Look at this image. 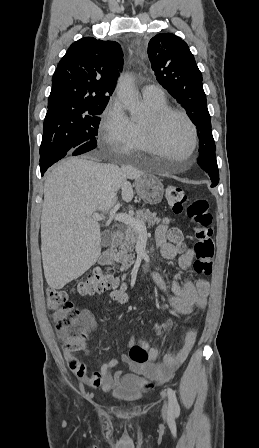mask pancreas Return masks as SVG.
Returning <instances> with one entry per match:
<instances>
[{
	"instance_id": "cf45deb5",
	"label": "pancreas",
	"mask_w": 259,
	"mask_h": 448,
	"mask_svg": "<svg viewBox=\"0 0 259 448\" xmlns=\"http://www.w3.org/2000/svg\"><path fill=\"white\" fill-rule=\"evenodd\" d=\"M156 216L157 214H152L150 210H137L135 218L136 220H140V222H144V224L147 222L148 228H150V226L159 224L160 220L159 218H156ZM124 234V242L121 246H119V252H116L115 260H117V262H121L122 270H128L135 258L134 254H130V252H133L134 250L139 232L134 230L133 226H127Z\"/></svg>"
}]
</instances>
